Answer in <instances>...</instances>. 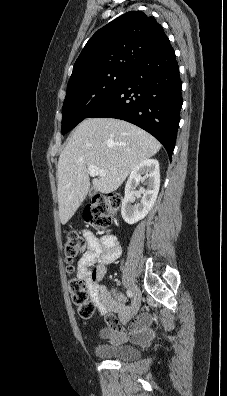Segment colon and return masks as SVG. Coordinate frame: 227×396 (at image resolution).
<instances>
[{"label": "colon", "mask_w": 227, "mask_h": 396, "mask_svg": "<svg viewBox=\"0 0 227 396\" xmlns=\"http://www.w3.org/2000/svg\"><path fill=\"white\" fill-rule=\"evenodd\" d=\"M120 205L121 197L116 194L95 196L92 203L84 211V220L87 224L97 229L106 230L110 226L113 215L120 208ZM86 248L87 243L79 234L71 232L66 236L64 253L68 263V273L72 274L74 272L73 261L77 256L84 253ZM68 288L79 316L83 320L90 319L94 314L95 305L89 300L84 282L78 277H71L68 281Z\"/></svg>", "instance_id": "1"}]
</instances>
